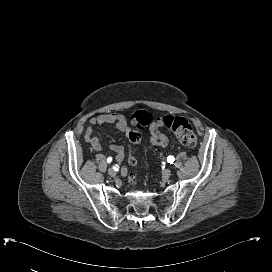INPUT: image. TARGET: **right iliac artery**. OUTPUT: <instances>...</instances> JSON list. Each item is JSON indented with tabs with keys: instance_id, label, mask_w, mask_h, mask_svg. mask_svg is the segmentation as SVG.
Instances as JSON below:
<instances>
[{
	"instance_id": "82829eb1",
	"label": "right iliac artery",
	"mask_w": 272,
	"mask_h": 272,
	"mask_svg": "<svg viewBox=\"0 0 272 272\" xmlns=\"http://www.w3.org/2000/svg\"><path fill=\"white\" fill-rule=\"evenodd\" d=\"M107 161H108V162H111V161H112V158H111V157H109V158L107 159Z\"/></svg>"
}]
</instances>
